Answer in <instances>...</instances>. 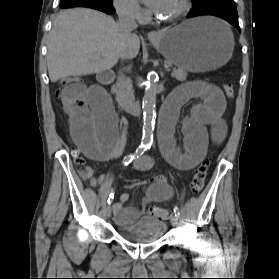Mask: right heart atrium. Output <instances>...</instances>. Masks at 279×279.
I'll use <instances>...</instances> for the list:
<instances>
[{
  "instance_id": "1",
  "label": "right heart atrium",
  "mask_w": 279,
  "mask_h": 279,
  "mask_svg": "<svg viewBox=\"0 0 279 279\" xmlns=\"http://www.w3.org/2000/svg\"><path fill=\"white\" fill-rule=\"evenodd\" d=\"M113 4L118 14L123 18L141 21L147 16V12L137 0H113Z\"/></svg>"
}]
</instances>
